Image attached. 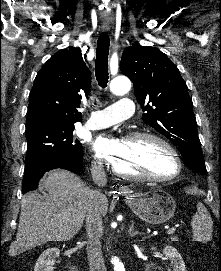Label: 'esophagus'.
Instances as JSON below:
<instances>
[{
	"label": "esophagus",
	"instance_id": "34e87169",
	"mask_svg": "<svg viewBox=\"0 0 221 271\" xmlns=\"http://www.w3.org/2000/svg\"><path fill=\"white\" fill-rule=\"evenodd\" d=\"M101 30H102V32H107V31H108V28L102 27ZM121 190H122L123 192H125V193H128V192H129V188H127V187H123V188H121Z\"/></svg>",
	"mask_w": 221,
	"mask_h": 271
}]
</instances>
